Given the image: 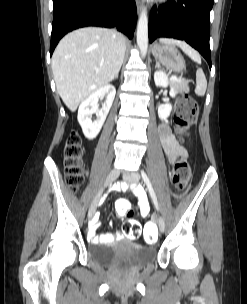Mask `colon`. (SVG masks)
<instances>
[{
	"label": "colon",
	"mask_w": 247,
	"mask_h": 304,
	"mask_svg": "<svg viewBox=\"0 0 247 304\" xmlns=\"http://www.w3.org/2000/svg\"><path fill=\"white\" fill-rule=\"evenodd\" d=\"M197 103L189 95H183L177 102L174 125L176 132L180 136H185L188 133L189 127L194 122L197 115ZM84 149L79 134L75 131L71 132L66 142L64 150V172L66 181L72 190H77L84 180V164H83ZM191 177L189 164L184 156H179L174 165L172 173V184L177 190H183ZM118 213L122 216H131L132 207L127 200H119L116 204ZM124 234L136 239L142 233V225L137 220H128L124 224ZM158 224L146 225L145 246H156L158 238Z\"/></svg>",
	"instance_id": "colon-1"
}]
</instances>
